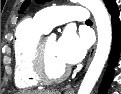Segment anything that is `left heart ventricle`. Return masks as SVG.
<instances>
[{
    "label": "left heart ventricle",
    "instance_id": "b2bd125f",
    "mask_svg": "<svg viewBox=\"0 0 121 94\" xmlns=\"http://www.w3.org/2000/svg\"><path fill=\"white\" fill-rule=\"evenodd\" d=\"M46 65L49 74L57 75L68 65L60 58L57 51V41L53 38H46L45 41Z\"/></svg>",
    "mask_w": 121,
    "mask_h": 94
}]
</instances>
